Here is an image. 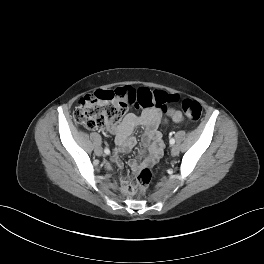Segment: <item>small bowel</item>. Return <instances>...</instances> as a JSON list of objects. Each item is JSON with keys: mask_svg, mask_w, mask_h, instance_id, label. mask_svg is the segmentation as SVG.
Listing matches in <instances>:
<instances>
[{"mask_svg": "<svg viewBox=\"0 0 264 264\" xmlns=\"http://www.w3.org/2000/svg\"><path fill=\"white\" fill-rule=\"evenodd\" d=\"M168 117L175 123L183 121V115L176 109L168 111ZM162 122V113L157 109H146L141 114L129 113L124 118L123 122L118 126H110L108 129L115 134V141L118 146V151L113 156V160L118 167H122V160L119 157V152L130 151L136 145V139L132 137L134 129L141 125L145 129L142 138L143 146L147 149L148 154L142 160H132L130 165L134 172L144 168L153 166L163 152V141L161 134L157 131L158 125ZM121 191L128 195L129 179L121 180Z\"/></svg>", "mask_w": 264, "mask_h": 264, "instance_id": "c3829d8e", "label": "small bowel"}]
</instances>
